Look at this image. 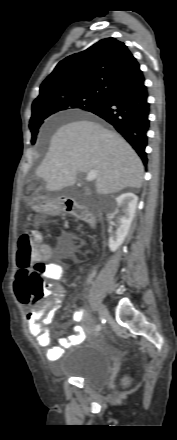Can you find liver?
<instances>
[{"label": "liver", "mask_w": 177, "mask_h": 440, "mask_svg": "<svg viewBox=\"0 0 177 440\" xmlns=\"http://www.w3.org/2000/svg\"><path fill=\"white\" fill-rule=\"evenodd\" d=\"M91 170L98 173V194L142 185L144 167L132 147L116 132L87 120L68 123L56 131L36 175L44 179L47 191H59L73 186L79 172Z\"/></svg>", "instance_id": "obj_1"}]
</instances>
